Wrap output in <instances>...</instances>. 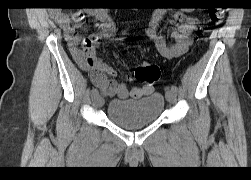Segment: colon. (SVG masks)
<instances>
[{
  "label": "colon",
  "instance_id": "1",
  "mask_svg": "<svg viewBox=\"0 0 251 180\" xmlns=\"http://www.w3.org/2000/svg\"><path fill=\"white\" fill-rule=\"evenodd\" d=\"M211 23L219 24L224 18V10L222 8H213L209 11ZM160 77L159 68L151 63H141L135 69V78L144 85L153 86Z\"/></svg>",
  "mask_w": 251,
  "mask_h": 180
}]
</instances>
